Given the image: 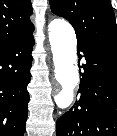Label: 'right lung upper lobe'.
<instances>
[{"instance_id": "cb5924a9", "label": "right lung upper lobe", "mask_w": 117, "mask_h": 136, "mask_svg": "<svg viewBox=\"0 0 117 136\" xmlns=\"http://www.w3.org/2000/svg\"><path fill=\"white\" fill-rule=\"evenodd\" d=\"M30 0H0V45L34 30Z\"/></svg>"}]
</instances>
